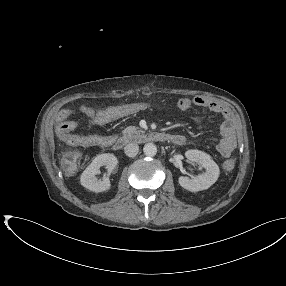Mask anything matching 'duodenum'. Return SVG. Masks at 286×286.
I'll return each mask as SVG.
<instances>
[{
  "label": "duodenum",
  "mask_w": 286,
  "mask_h": 286,
  "mask_svg": "<svg viewBox=\"0 0 286 286\" xmlns=\"http://www.w3.org/2000/svg\"><path fill=\"white\" fill-rule=\"evenodd\" d=\"M131 141H157L165 142L169 141L176 145H183L185 143V138L182 135L172 134L167 132H145L138 136H125L118 139H115L112 143L114 150H121L126 144Z\"/></svg>",
  "instance_id": "410a0bca"
}]
</instances>
